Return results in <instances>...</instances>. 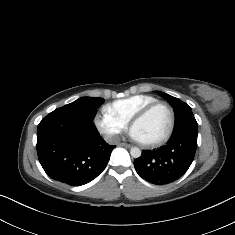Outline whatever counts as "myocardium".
Returning <instances> with one entry per match:
<instances>
[{"label": "myocardium", "instance_id": "f54148a6", "mask_svg": "<svg viewBox=\"0 0 235 235\" xmlns=\"http://www.w3.org/2000/svg\"><path fill=\"white\" fill-rule=\"evenodd\" d=\"M157 108H164L169 113L170 126H169L167 133L163 137H161L155 141L149 142V143L140 142V144L143 147L149 148V149L155 148L157 146L164 144L172 137L174 130H175V126H176V116H175V112H174L173 108L169 104H167L165 102H161V101L152 103V104L146 106L145 108H143L136 115H134V117L131 119V123H130V127L132 128L136 122L146 118L152 111H154Z\"/></svg>", "mask_w": 235, "mask_h": 235}]
</instances>
